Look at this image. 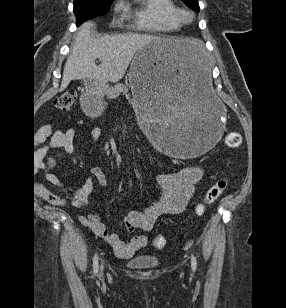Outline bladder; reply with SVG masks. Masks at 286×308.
<instances>
[{
	"label": "bladder",
	"instance_id": "1",
	"mask_svg": "<svg viewBox=\"0 0 286 308\" xmlns=\"http://www.w3.org/2000/svg\"><path fill=\"white\" fill-rule=\"evenodd\" d=\"M127 263L134 269H151L159 264V259L154 256L140 254L130 258Z\"/></svg>",
	"mask_w": 286,
	"mask_h": 308
}]
</instances>
